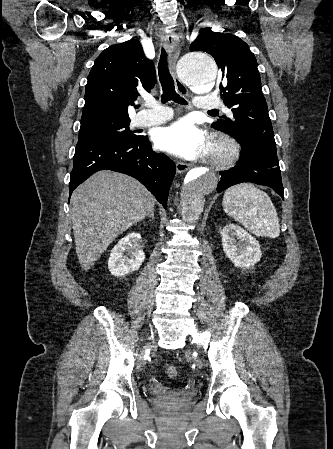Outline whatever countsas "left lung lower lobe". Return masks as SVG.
I'll return each mask as SVG.
<instances>
[{"label":"left lung lower lobe","mask_w":333,"mask_h":449,"mask_svg":"<svg viewBox=\"0 0 333 449\" xmlns=\"http://www.w3.org/2000/svg\"><path fill=\"white\" fill-rule=\"evenodd\" d=\"M217 191L242 183L253 182L271 187L284 198V189L278 158L266 154L247 153L242 150V156L237 165L228 171H222Z\"/></svg>","instance_id":"0a47b994"}]
</instances>
